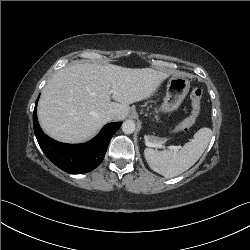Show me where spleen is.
<instances>
[{"label":"spleen","mask_w":250,"mask_h":250,"mask_svg":"<svg viewBox=\"0 0 250 250\" xmlns=\"http://www.w3.org/2000/svg\"><path fill=\"white\" fill-rule=\"evenodd\" d=\"M212 136V130L204 127L199 129L190 142L177 150L158 151L152 148L144 150L149 167L166 178L182 174L192 167L202 156Z\"/></svg>","instance_id":"obj_1"}]
</instances>
